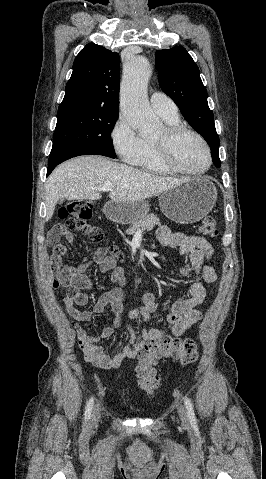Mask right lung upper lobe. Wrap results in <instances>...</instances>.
Wrapping results in <instances>:
<instances>
[{"label":"right lung upper lobe","mask_w":266,"mask_h":479,"mask_svg":"<svg viewBox=\"0 0 266 479\" xmlns=\"http://www.w3.org/2000/svg\"><path fill=\"white\" fill-rule=\"evenodd\" d=\"M119 65L118 53L94 43L87 44L74 60L58 114L119 113Z\"/></svg>","instance_id":"obj_1"}]
</instances>
